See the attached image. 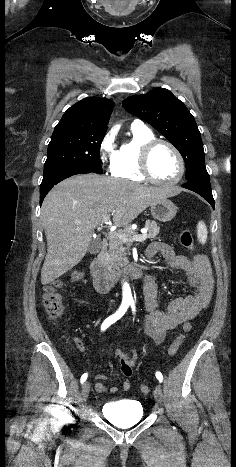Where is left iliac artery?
<instances>
[{
	"label": "left iliac artery",
	"mask_w": 236,
	"mask_h": 467,
	"mask_svg": "<svg viewBox=\"0 0 236 467\" xmlns=\"http://www.w3.org/2000/svg\"><path fill=\"white\" fill-rule=\"evenodd\" d=\"M131 307H132V311L133 313H135L136 309H135V304L133 302L130 303ZM156 378L159 380V382H162L163 381V375L161 372L157 371L156 372Z\"/></svg>",
	"instance_id": "left-iliac-artery-1"
}]
</instances>
